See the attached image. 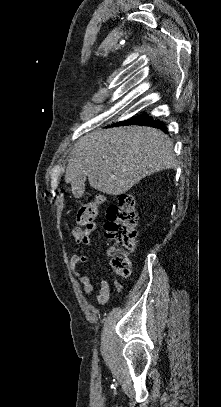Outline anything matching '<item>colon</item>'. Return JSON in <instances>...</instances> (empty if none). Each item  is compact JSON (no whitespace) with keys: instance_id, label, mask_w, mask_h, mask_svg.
I'll return each instance as SVG.
<instances>
[{"instance_id":"1","label":"colon","mask_w":221,"mask_h":407,"mask_svg":"<svg viewBox=\"0 0 221 407\" xmlns=\"http://www.w3.org/2000/svg\"><path fill=\"white\" fill-rule=\"evenodd\" d=\"M104 197L96 193L92 200L81 205L77 212V227L72 229L71 235L75 240L91 237L96 229L98 208ZM105 223V234L114 241L109 250L110 264L113 272L121 278H126L131 272L130 256L136 249L138 216L135 200L131 195L122 194L117 203L108 211Z\"/></svg>"}]
</instances>
